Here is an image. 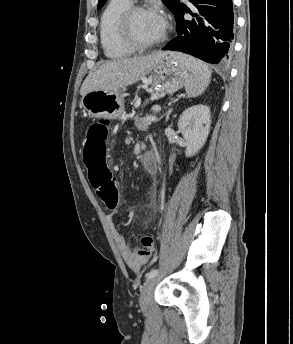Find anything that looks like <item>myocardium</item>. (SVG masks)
I'll return each instance as SVG.
<instances>
[{"label": "myocardium", "instance_id": "myocardium-1", "mask_svg": "<svg viewBox=\"0 0 293 344\" xmlns=\"http://www.w3.org/2000/svg\"><path fill=\"white\" fill-rule=\"evenodd\" d=\"M147 11H151V9L146 5L132 4L122 12L118 19L117 27L121 40L135 50L143 51L151 49L164 43L167 38L166 31L163 32L159 39L151 42L140 41L134 36L132 32L133 18L136 14Z\"/></svg>", "mask_w": 293, "mask_h": 344}]
</instances>
